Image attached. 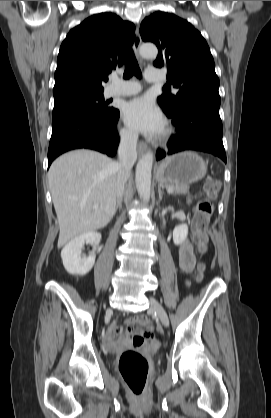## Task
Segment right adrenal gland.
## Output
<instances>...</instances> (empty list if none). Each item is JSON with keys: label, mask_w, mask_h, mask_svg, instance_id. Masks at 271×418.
I'll return each instance as SVG.
<instances>
[{"label": "right adrenal gland", "mask_w": 271, "mask_h": 418, "mask_svg": "<svg viewBox=\"0 0 271 418\" xmlns=\"http://www.w3.org/2000/svg\"><path fill=\"white\" fill-rule=\"evenodd\" d=\"M122 197L117 199V204H116V208H115V212L117 211V209L121 210L122 208Z\"/></svg>", "instance_id": "right-adrenal-gland-1"}]
</instances>
